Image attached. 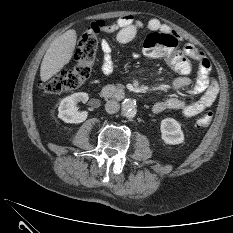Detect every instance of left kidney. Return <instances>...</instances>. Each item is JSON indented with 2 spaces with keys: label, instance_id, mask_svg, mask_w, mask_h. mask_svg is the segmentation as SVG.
Wrapping results in <instances>:
<instances>
[{
  "label": "left kidney",
  "instance_id": "obj_1",
  "mask_svg": "<svg viewBox=\"0 0 233 233\" xmlns=\"http://www.w3.org/2000/svg\"><path fill=\"white\" fill-rule=\"evenodd\" d=\"M161 138L166 144L176 145L184 141L181 124L173 118H165L160 125Z\"/></svg>",
  "mask_w": 233,
  "mask_h": 233
}]
</instances>
